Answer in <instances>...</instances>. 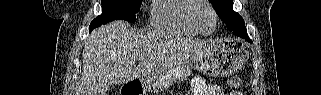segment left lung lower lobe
Returning <instances> with one entry per match:
<instances>
[{
    "label": "left lung lower lobe",
    "mask_w": 321,
    "mask_h": 95,
    "mask_svg": "<svg viewBox=\"0 0 321 95\" xmlns=\"http://www.w3.org/2000/svg\"><path fill=\"white\" fill-rule=\"evenodd\" d=\"M238 36L241 37V38L246 39L247 41H250V42H251V40L249 39L246 31H244V32H242V33H239Z\"/></svg>",
    "instance_id": "0a47b994"
}]
</instances>
